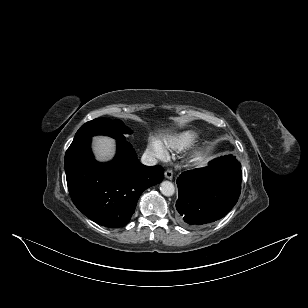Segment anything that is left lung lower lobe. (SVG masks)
<instances>
[{"label": "left lung lower lobe", "mask_w": 308, "mask_h": 308, "mask_svg": "<svg viewBox=\"0 0 308 308\" xmlns=\"http://www.w3.org/2000/svg\"><path fill=\"white\" fill-rule=\"evenodd\" d=\"M177 186L180 223L203 226L224 217L236 204L241 192V165L234 156L226 155L207 167L183 172Z\"/></svg>", "instance_id": "1"}]
</instances>
